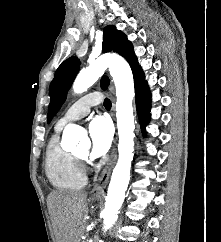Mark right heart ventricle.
Here are the masks:
<instances>
[{
    "label": "right heart ventricle",
    "mask_w": 221,
    "mask_h": 242,
    "mask_svg": "<svg viewBox=\"0 0 221 242\" xmlns=\"http://www.w3.org/2000/svg\"><path fill=\"white\" fill-rule=\"evenodd\" d=\"M55 132L48 141L45 154V173L51 185L58 190L80 189L86 184L84 170L76 156L61 148L58 133Z\"/></svg>",
    "instance_id": "1"
}]
</instances>
